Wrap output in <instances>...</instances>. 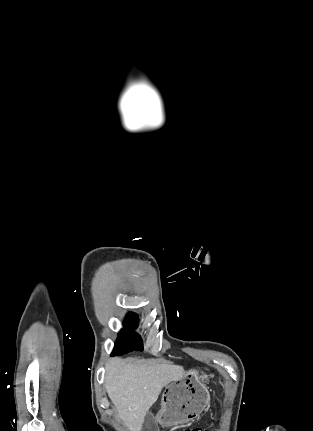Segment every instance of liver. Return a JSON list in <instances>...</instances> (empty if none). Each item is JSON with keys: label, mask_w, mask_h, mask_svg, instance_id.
Instances as JSON below:
<instances>
[{"label": "liver", "mask_w": 313, "mask_h": 431, "mask_svg": "<svg viewBox=\"0 0 313 431\" xmlns=\"http://www.w3.org/2000/svg\"><path fill=\"white\" fill-rule=\"evenodd\" d=\"M184 374L182 366L113 358L106 365L105 388L129 430L141 431L145 416L162 388L182 379Z\"/></svg>", "instance_id": "6515ba94"}]
</instances>
